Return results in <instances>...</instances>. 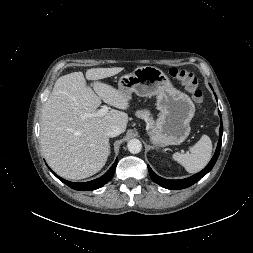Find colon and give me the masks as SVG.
Segmentation results:
<instances>
[{"label": "colon", "instance_id": "5ec220e1", "mask_svg": "<svg viewBox=\"0 0 253 253\" xmlns=\"http://www.w3.org/2000/svg\"><path fill=\"white\" fill-rule=\"evenodd\" d=\"M168 74L182 83L195 104L201 105L203 93L199 88L198 79L194 72L184 68L172 67L168 70Z\"/></svg>", "mask_w": 253, "mask_h": 253}]
</instances>
